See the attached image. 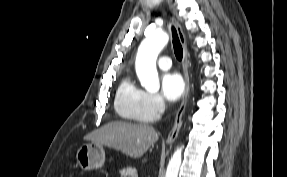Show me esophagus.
Wrapping results in <instances>:
<instances>
[{"instance_id":"34e87169","label":"esophagus","mask_w":287,"mask_h":177,"mask_svg":"<svg viewBox=\"0 0 287 177\" xmlns=\"http://www.w3.org/2000/svg\"><path fill=\"white\" fill-rule=\"evenodd\" d=\"M172 22L177 30L178 37L183 48L182 66H183V73H184V80H185V90H184L183 101L175 115V122H174L173 128L170 131L167 137V140H166L168 144L173 143L178 136L179 130L182 125V115L186 109V104L189 98V91H190V79H189V74H188L189 53L187 49L185 34L183 32L181 24L174 17H172Z\"/></svg>"}]
</instances>
